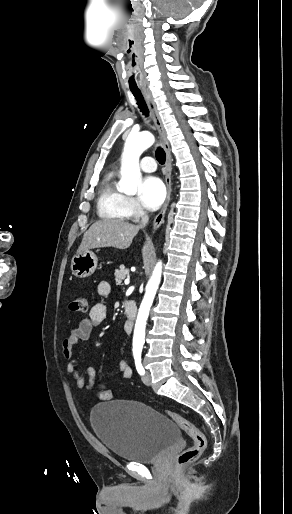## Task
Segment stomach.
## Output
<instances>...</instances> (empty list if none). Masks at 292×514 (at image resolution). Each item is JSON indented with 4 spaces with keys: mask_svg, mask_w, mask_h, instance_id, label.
I'll use <instances>...</instances> for the list:
<instances>
[{
    "mask_svg": "<svg viewBox=\"0 0 292 514\" xmlns=\"http://www.w3.org/2000/svg\"><path fill=\"white\" fill-rule=\"evenodd\" d=\"M98 260L94 252H80L72 258L71 270L76 278H88L94 274L97 268Z\"/></svg>",
    "mask_w": 292,
    "mask_h": 514,
    "instance_id": "obj_1",
    "label": "stomach"
}]
</instances>
